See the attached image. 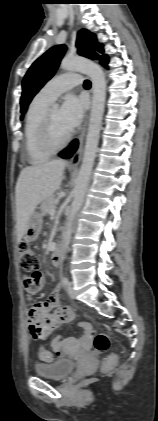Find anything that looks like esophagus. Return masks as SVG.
<instances>
[{
    "label": "esophagus",
    "instance_id": "34e87169",
    "mask_svg": "<svg viewBox=\"0 0 158 421\" xmlns=\"http://www.w3.org/2000/svg\"><path fill=\"white\" fill-rule=\"evenodd\" d=\"M88 118L89 115H87L85 122L83 124V127L81 129L80 134L78 135L77 139H78V148L75 151V153L73 154V156L71 157L68 165L70 167H77L80 163L81 160V156L83 153V148H84V140H85V135H86V131H87V125H88Z\"/></svg>",
    "mask_w": 158,
    "mask_h": 421
}]
</instances>
